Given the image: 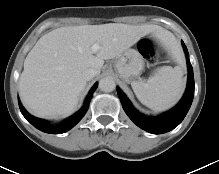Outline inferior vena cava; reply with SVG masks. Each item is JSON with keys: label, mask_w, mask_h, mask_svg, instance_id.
<instances>
[{"label": "inferior vena cava", "mask_w": 219, "mask_h": 174, "mask_svg": "<svg viewBox=\"0 0 219 174\" xmlns=\"http://www.w3.org/2000/svg\"><path fill=\"white\" fill-rule=\"evenodd\" d=\"M97 74V71L94 68H88L83 71V77L86 81L91 80L94 78Z\"/></svg>", "instance_id": "obj_1"}]
</instances>
